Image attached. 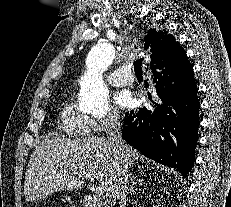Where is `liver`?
I'll use <instances>...</instances> for the list:
<instances>
[{
    "instance_id": "6515ba94",
    "label": "liver",
    "mask_w": 231,
    "mask_h": 207,
    "mask_svg": "<svg viewBox=\"0 0 231 207\" xmlns=\"http://www.w3.org/2000/svg\"><path fill=\"white\" fill-rule=\"evenodd\" d=\"M140 153L123 142L114 151L107 139L92 136L71 140L53 136L42 139L29 159L24 194L29 202L39 201L59 190H78L88 175L103 188L106 202L114 204L115 180L121 169H128Z\"/></svg>"
}]
</instances>
